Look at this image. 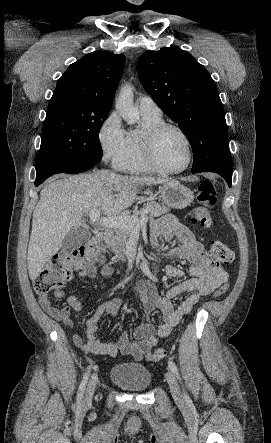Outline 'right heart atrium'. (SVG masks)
I'll return each mask as SVG.
<instances>
[{"label":"right heart atrium","mask_w":271,"mask_h":443,"mask_svg":"<svg viewBox=\"0 0 271 443\" xmlns=\"http://www.w3.org/2000/svg\"><path fill=\"white\" fill-rule=\"evenodd\" d=\"M97 139L103 156L120 166L126 154V134L117 111L110 112L100 123Z\"/></svg>","instance_id":"obj_1"}]
</instances>
